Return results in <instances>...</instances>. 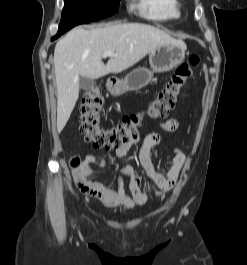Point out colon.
Returning a JSON list of instances; mask_svg holds the SVG:
<instances>
[{"label":"colon","mask_w":247,"mask_h":265,"mask_svg":"<svg viewBox=\"0 0 247 265\" xmlns=\"http://www.w3.org/2000/svg\"><path fill=\"white\" fill-rule=\"evenodd\" d=\"M199 57L192 56L188 63L179 65L155 99L148 107L147 114L153 118L166 117L175 107L178 95L192 76L193 69L198 65ZM103 106V97L97 88L88 90L81 105L79 130L85 141L92 143L95 148L106 150L119 149L129 141L137 138L142 121L141 114L125 116L122 121L112 127H103L100 122V113ZM73 167L79 164V159L73 158Z\"/></svg>","instance_id":"5ec220e1"}]
</instances>
